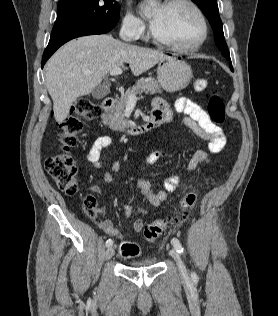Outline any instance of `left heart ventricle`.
<instances>
[{
  "mask_svg": "<svg viewBox=\"0 0 278 316\" xmlns=\"http://www.w3.org/2000/svg\"><path fill=\"white\" fill-rule=\"evenodd\" d=\"M152 26L159 38L179 46L193 45L201 35L196 14L184 4L159 6L153 13Z\"/></svg>",
  "mask_w": 278,
  "mask_h": 316,
  "instance_id": "left-heart-ventricle-1",
  "label": "left heart ventricle"
}]
</instances>
